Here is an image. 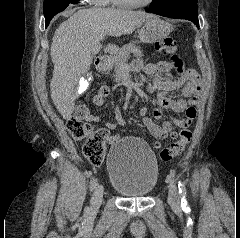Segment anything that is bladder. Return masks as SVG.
I'll list each match as a JSON object with an SVG mask.
<instances>
[{
  "label": "bladder",
  "mask_w": 240,
  "mask_h": 238,
  "mask_svg": "<svg viewBox=\"0 0 240 238\" xmlns=\"http://www.w3.org/2000/svg\"><path fill=\"white\" fill-rule=\"evenodd\" d=\"M107 169L112 188L128 197L150 194L159 174L155 153L135 138L119 140L110 148Z\"/></svg>",
  "instance_id": "bladder-1"
}]
</instances>
